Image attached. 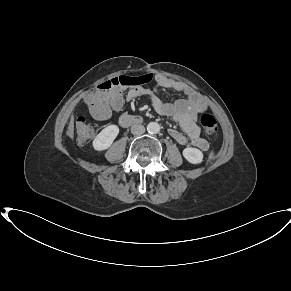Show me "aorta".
Returning a JSON list of instances; mask_svg holds the SVG:
<instances>
[{
  "label": "aorta",
  "instance_id": "obj_1",
  "mask_svg": "<svg viewBox=\"0 0 291 291\" xmlns=\"http://www.w3.org/2000/svg\"><path fill=\"white\" fill-rule=\"evenodd\" d=\"M147 130L149 133L156 134L160 131V125L156 122H150L147 125Z\"/></svg>",
  "mask_w": 291,
  "mask_h": 291
}]
</instances>
